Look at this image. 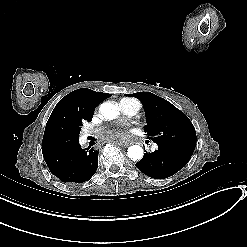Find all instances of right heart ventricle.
Instances as JSON below:
<instances>
[{
	"label": "right heart ventricle",
	"instance_id": "right-heart-ventricle-1",
	"mask_svg": "<svg viewBox=\"0 0 247 247\" xmlns=\"http://www.w3.org/2000/svg\"><path fill=\"white\" fill-rule=\"evenodd\" d=\"M129 105H134L136 109L140 108V102H138L137 100H133L130 98H122L119 101V106L123 109L126 106Z\"/></svg>",
	"mask_w": 247,
	"mask_h": 247
}]
</instances>
